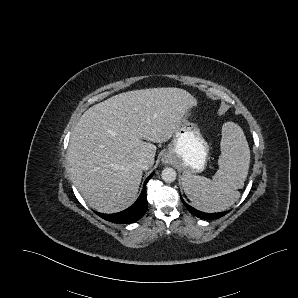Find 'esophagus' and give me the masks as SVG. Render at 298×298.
<instances>
[{
  "instance_id": "1",
  "label": "esophagus",
  "mask_w": 298,
  "mask_h": 298,
  "mask_svg": "<svg viewBox=\"0 0 298 298\" xmlns=\"http://www.w3.org/2000/svg\"><path fill=\"white\" fill-rule=\"evenodd\" d=\"M168 157V156H167ZM169 158H170V156H169ZM169 161H168V159H166V163H168Z\"/></svg>"
}]
</instances>
